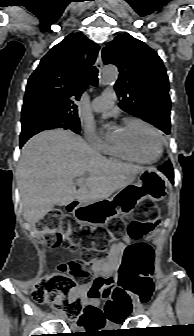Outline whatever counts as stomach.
Returning <instances> with one entry per match:
<instances>
[{"mask_svg": "<svg viewBox=\"0 0 194 336\" xmlns=\"http://www.w3.org/2000/svg\"><path fill=\"white\" fill-rule=\"evenodd\" d=\"M166 194L167 181L164 176L154 168H143L137 183L121 189L111 199L76 207L73 216L80 224L102 226L121 213L132 212L143 200L161 201Z\"/></svg>", "mask_w": 194, "mask_h": 336, "instance_id": "1", "label": "stomach"}]
</instances>
